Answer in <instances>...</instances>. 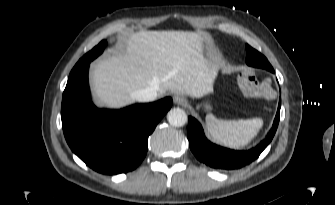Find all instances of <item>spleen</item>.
Listing matches in <instances>:
<instances>
[{"label": "spleen", "mask_w": 335, "mask_h": 205, "mask_svg": "<svg viewBox=\"0 0 335 205\" xmlns=\"http://www.w3.org/2000/svg\"><path fill=\"white\" fill-rule=\"evenodd\" d=\"M205 120L210 136L220 144L234 149L248 145L263 126L260 118L224 121L208 114Z\"/></svg>", "instance_id": "3e777b00"}]
</instances>
